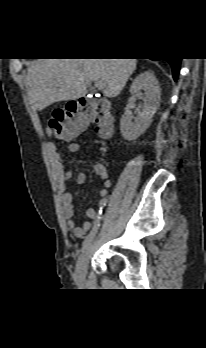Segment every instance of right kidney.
<instances>
[{
	"instance_id": "right-kidney-1",
	"label": "right kidney",
	"mask_w": 206,
	"mask_h": 348,
	"mask_svg": "<svg viewBox=\"0 0 206 348\" xmlns=\"http://www.w3.org/2000/svg\"><path fill=\"white\" fill-rule=\"evenodd\" d=\"M142 91H144L142 111L134 117L128 108L120 120V131L127 141L136 140L146 131L160 106L161 89L153 72L145 71L135 78L130 87L131 99L141 97Z\"/></svg>"
}]
</instances>
